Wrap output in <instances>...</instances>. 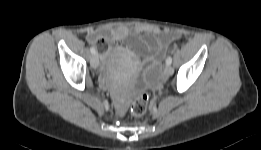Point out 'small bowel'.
Wrapping results in <instances>:
<instances>
[{"instance_id":"small-bowel-1","label":"small bowel","mask_w":261,"mask_h":150,"mask_svg":"<svg viewBox=\"0 0 261 150\" xmlns=\"http://www.w3.org/2000/svg\"><path fill=\"white\" fill-rule=\"evenodd\" d=\"M150 35V40L132 41L140 34ZM180 34L172 30H162L153 25H138L132 28L120 26L117 28L103 27L92 29L87 33V41L91 44H97L100 50H106L108 42L127 41L133 46L143 62L135 61L133 71H136L142 64L147 66L146 79L152 82L156 79L159 71L160 60L164 57L168 45L179 39Z\"/></svg>"}]
</instances>
